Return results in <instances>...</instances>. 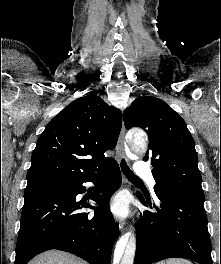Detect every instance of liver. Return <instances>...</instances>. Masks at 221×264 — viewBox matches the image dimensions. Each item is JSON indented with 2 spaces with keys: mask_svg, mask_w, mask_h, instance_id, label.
I'll list each match as a JSON object with an SVG mask.
<instances>
[{
  "mask_svg": "<svg viewBox=\"0 0 221 264\" xmlns=\"http://www.w3.org/2000/svg\"><path fill=\"white\" fill-rule=\"evenodd\" d=\"M28 264H87V263L69 253L51 250L36 256Z\"/></svg>",
  "mask_w": 221,
  "mask_h": 264,
  "instance_id": "liver-1",
  "label": "liver"
}]
</instances>
